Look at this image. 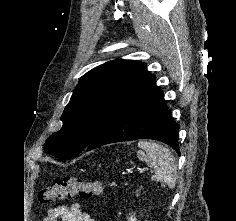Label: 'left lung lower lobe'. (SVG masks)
<instances>
[{"label": "left lung lower lobe", "mask_w": 236, "mask_h": 221, "mask_svg": "<svg viewBox=\"0 0 236 221\" xmlns=\"http://www.w3.org/2000/svg\"><path fill=\"white\" fill-rule=\"evenodd\" d=\"M154 81L155 76L151 75L110 113L87 151L109 143L146 138L164 142L180 154L179 125L172 119L163 92Z\"/></svg>", "instance_id": "obj_1"}]
</instances>
